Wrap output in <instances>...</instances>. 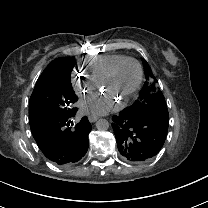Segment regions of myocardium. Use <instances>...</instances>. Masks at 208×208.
<instances>
[{"label": "myocardium", "mask_w": 208, "mask_h": 208, "mask_svg": "<svg viewBox=\"0 0 208 208\" xmlns=\"http://www.w3.org/2000/svg\"><path fill=\"white\" fill-rule=\"evenodd\" d=\"M125 61H130V62L134 63V65L136 66V68H137V80H136L135 85L131 89V91L124 98H122V102H120V105H123L126 102H128L132 97L135 96L137 91L140 89V87L142 85V82H143V79H144V71H143V67H142L141 63L137 59H135L134 57H129V56L122 57L119 61H117L114 64V66L109 71V73L103 79H101L98 82V87L99 88L109 85L113 81L117 69Z\"/></svg>", "instance_id": "f54148a6"}]
</instances>
